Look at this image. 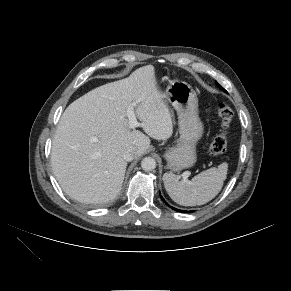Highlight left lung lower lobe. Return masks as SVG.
<instances>
[{"mask_svg": "<svg viewBox=\"0 0 291 291\" xmlns=\"http://www.w3.org/2000/svg\"><path fill=\"white\" fill-rule=\"evenodd\" d=\"M161 199L165 202L166 205H168V203L163 199V197L161 196ZM169 206V205H168ZM173 210H176V211H179V212H187V211H184V210H179V209H176L174 207H171Z\"/></svg>", "mask_w": 291, "mask_h": 291, "instance_id": "1", "label": "left lung lower lobe"}]
</instances>
